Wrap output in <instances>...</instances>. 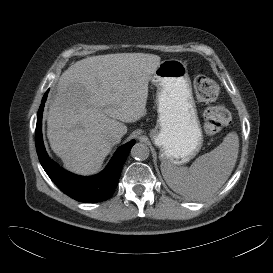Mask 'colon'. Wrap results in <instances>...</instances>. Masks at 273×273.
<instances>
[{
    "instance_id": "5ec220e1",
    "label": "colon",
    "mask_w": 273,
    "mask_h": 273,
    "mask_svg": "<svg viewBox=\"0 0 273 273\" xmlns=\"http://www.w3.org/2000/svg\"><path fill=\"white\" fill-rule=\"evenodd\" d=\"M194 88L197 98L203 103H212L219 96V87L211 79L205 76L197 77L194 81ZM230 115L223 107H209L203 116V128L207 134L221 132L229 123Z\"/></svg>"
}]
</instances>
